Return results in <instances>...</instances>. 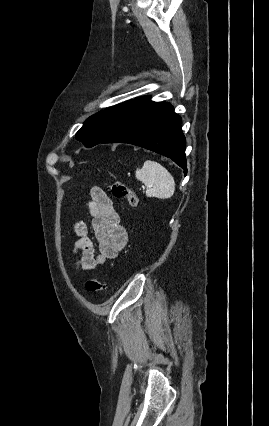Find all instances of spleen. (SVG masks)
<instances>
[{
  "instance_id": "1",
  "label": "spleen",
  "mask_w": 269,
  "mask_h": 426,
  "mask_svg": "<svg viewBox=\"0 0 269 426\" xmlns=\"http://www.w3.org/2000/svg\"><path fill=\"white\" fill-rule=\"evenodd\" d=\"M135 177L147 187V197L168 199L175 192L174 178L166 168L155 161L146 160L142 168L136 169Z\"/></svg>"
}]
</instances>
